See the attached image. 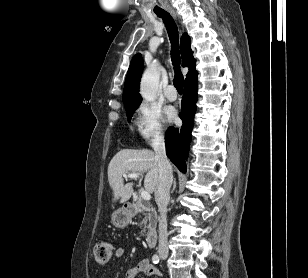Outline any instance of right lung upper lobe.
<instances>
[{"label": "right lung upper lobe", "instance_id": "obj_1", "mask_svg": "<svg viewBox=\"0 0 308 278\" xmlns=\"http://www.w3.org/2000/svg\"><path fill=\"white\" fill-rule=\"evenodd\" d=\"M190 43V37L186 33L183 34L181 37L182 66L189 67V72L186 75L185 83L198 75L195 69L196 61L192 56ZM142 71L143 59L140 54H136L131 61L125 80L123 92V102L125 108L130 106H139L142 101V98L138 93Z\"/></svg>", "mask_w": 308, "mask_h": 278}]
</instances>
